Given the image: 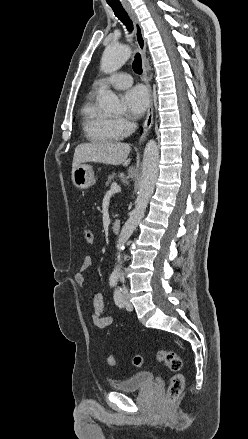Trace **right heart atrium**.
I'll use <instances>...</instances> for the list:
<instances>
[{
	"label": "right heart atrium",
	"mask_w": 248,
	"mask_h": 439,
	"mask_svg": "<svg viewBox=\"0 0 248 439\" xmlns=\"http://www.w3.org/2000/svg\"><path fill=\"white\" fill-rule=\"evenodd\" d=\"M113 125L117 132L123 136L130 134L135 128V123L127 117L113 119Z\"/></svg>",
	"instance_id": "right-heart-atrium-1"
}]
</instances>
